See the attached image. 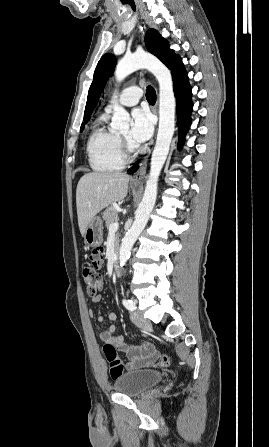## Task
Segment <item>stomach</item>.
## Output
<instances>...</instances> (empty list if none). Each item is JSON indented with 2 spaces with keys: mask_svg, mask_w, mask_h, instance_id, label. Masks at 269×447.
<instances>
[{
  "mask_svg": "<svg viewBox=\"0 0 269 447\" xmlns=\"http://www.w3.org/2000/svg\"><path fill=\"white\" fill-rule=\"evenodd\" d=\"M84 239L86 245H90V247H97V245H101L103 241V222L99 216H95V218L91 220L90 224L87 225L84 233Z\"/></svg>",
  "mask_w": 269,
  "mask_h": 447,
  "instance_id": "obj_1",
  "label": "stomach"
}]
</instances>
